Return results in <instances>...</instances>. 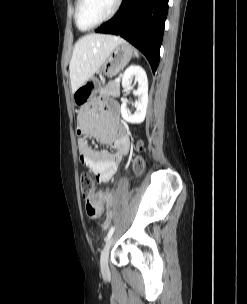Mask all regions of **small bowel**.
<instances>
[{
  "label": "small bowel",
  "mask_w": 247,
  "mask_h": 304,
  "mask_svg": "<svg viewBox=\"0 0 247 304\" xmlns=\"http://www.w3.org/2000/svg\"><path fill=\"white\" fill-rule=\"evenodd\" d=\"M78 148L82 164L92 171L100 184L107 183L128 153L130 138L119 116L116 102L101 99L83 106L78 115ZM90 139L111 148L95 147Z\"/></svg>",
  "instance_id": "obj_1"
}]
</instances>
